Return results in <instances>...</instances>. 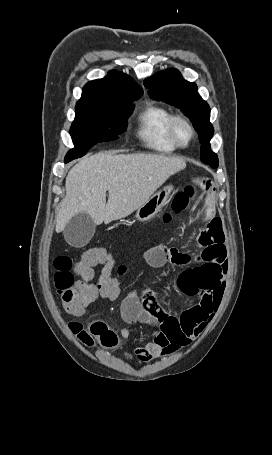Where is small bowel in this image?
<instances>
[{"label":"small bowel","mask_w":272,"mask_h":455,"mask_svg":"<svg viewBox=\"0 0 272 455\" xmlns=\"http://www.w3.org/2000/svg\"><path fill=\"white\" fill-rule=\"evenodd\" d=\"M188 185L196 191L207 192L211 181L205 175H194ZM198 241L203 249L197 257V264L187 267L179 275L177 283L183 294L197 300L194 306L177 317L158 310L152 293H147L143 299L129 295L123 301L120 313L126 325L121 328L122 337H128L132 325L137 322L155 330L153 339L136 347L134 355L124 353L126 359L148 362L172 354L192 343L212 320L222 300L228 271L221 220L207 216ZM145 259L153 267H162L167 263L187 266L192 261L188 254L165 245L148 249Z\"/></svg>","instance_id":"1"}]
</instances>
